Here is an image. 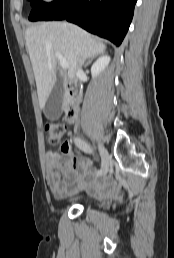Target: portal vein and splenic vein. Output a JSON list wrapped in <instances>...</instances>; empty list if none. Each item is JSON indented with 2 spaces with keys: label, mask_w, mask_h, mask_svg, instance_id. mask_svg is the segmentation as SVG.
Instances as JSON below:
<instances>
[{
  "label": "portal vein and splenic vein",
  "mask_w": 174,
  "mask_h": 258,
  "mask_svg": "<svg viewBox=\"0 0 174 258\" xmlns=\"http://www.w3.org/2000/svg\"><path fill=\"white\" fill-rule=\"evenodd\" d=\"M56 57L59 60L62 69L67 70L69 68L67 61L58 53L56 54Z\"/></svg>",
  "instance_id": "obj_1"
}]
</instances>
